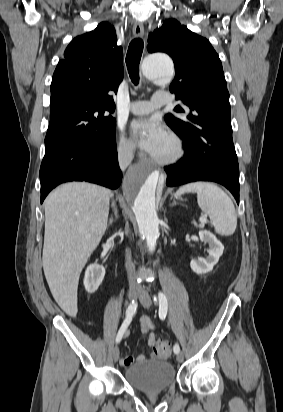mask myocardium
<instances>
[{"instance_id":"myocardium-1","label":"myocardium","mask_w":283,"mask_h":412,"mask_svg":"<svg viewBox=\"0 0 283 412\" xmlns=\"http://www.w3.org/2000/svg\"><path fill=\"white\" fill-rule=\"evenodd\" d=\"M170 140L172 141L173 145H174V152L171 156L167 157V158H160V157H156L154 155H151V159L153 162H155L156 164L159 165H172L175 164L176 162H178L179 160H181L184 156L185 153V148H184V144L182 142V140L180 139V137L178 135H176L174 132H168L167 135Z\"/></svg>"}]
</instances>
